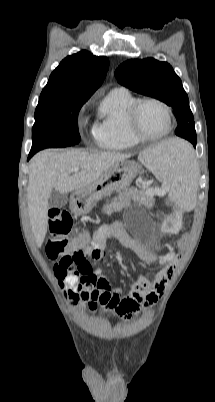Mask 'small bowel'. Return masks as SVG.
<instances>
[{"label": "small bowel", "mask_w": 215, "mask_h": 402, "mask_svg": "<svg viewBox=\"0 0 215 402\" xmlns=\"http://www.w3.org/2000/svg\"><path fill=\"white\" fill-rule=\"evenodd\" d=\"M149 203V200L143 201L145 205ZM109 237H114L125 247L140 249V245L124 230L122 224L116 222L111 228H103L95 233L91 243L87 244L86 250H80L85 256L81 263H74L71 268H60L56 263L54 271L60 287L64 289L71 304L85 303L90 311H95L98 306H102L114 316L131 319L142 308L157 301L171 273L164 268L153 279L141 274L132 282L128 294L123 295L119 288L110 286L99 269L94 268L105 258V247ZM170 258L171 254H166L161 259L163 262H168ZM81 265H86L88 270L81 272L79 270Z\"/></svg>", "instance_id": "small-bowel-1"}]
</instances>
